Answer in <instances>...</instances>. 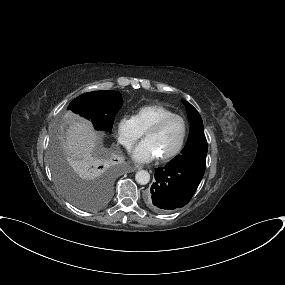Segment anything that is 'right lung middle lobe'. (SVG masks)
I'll list each match as a JSON object with an SVG mask.
<instances>
[{"label": "right lung middle lobe", "instance_id": "right-lung-middle-lobe-1", "mask_svg": "<svg viewBox=\"0 0 285 285\" xmlns=\"http://www.w3.org/2000/svg\"><path fill=\"white\" fill-rule=\"evenodd\" d=\"M123 104L118 91H93L75 98L68 109L91 120L96 130L110 132L114 117ZM52 170L55 180L64 196L75 206L84 210H95L103 206L111 194L110 161L102 160L94 167L90 166L94 174V181L98 185L97 198H91L86 192V186L75 176L70 165L61 157L57 141L53 142L51 153ZM74 169V168H73ZM82 175L83 169L80 167Z\"/></svg>", "mask_w": 285, "mask_h": 285}]
</instances>
